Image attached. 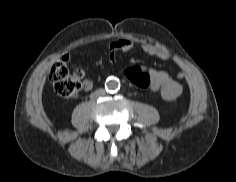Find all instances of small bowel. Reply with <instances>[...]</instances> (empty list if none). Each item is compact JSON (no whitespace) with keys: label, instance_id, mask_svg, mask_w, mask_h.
<instances>
[{"label":"small bowel","instance_id":"1","mask_svg":"<svg viewBox=\"0 0 236 182\" xmlns=\"http://www.w3.org/2000/svg\"><path fill=\"white\" fill-rule=\"evenodd\" d=\"M134 42L127 38H119L113 41L109 47V59L115 61L116 54L118 52H129L134 49ZM142 50L152 56H156L161 60H167L169 53L166 49L160 48L155 44L150 42H143L141 44ZM62 59L68 61L70 59L69 54L63 55ZM146 71L149 72L151 76V86L152 91L159 92L161 97L166 101H173L178 98L183 92V86L178 80H182L184 74L182 72L177 74V79H173L167 72L162 70H156L149 68ZM93 87V83L89 79H85L82 82V88L86 91Z\"/></svg>","mask_w":236,"mask_h":182}]
</instances>
